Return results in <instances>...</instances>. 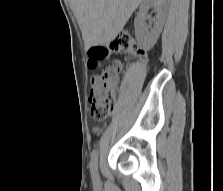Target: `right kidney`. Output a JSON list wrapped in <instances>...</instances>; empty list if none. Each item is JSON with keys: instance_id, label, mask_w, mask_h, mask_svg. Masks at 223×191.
I'll return each mask as SVG.
<instances>
[{"instance_id": "obj_1", "label": "right kidney", "mask_w": 223, "mask_h": 191, "mask_svg": "<svg viewBox=\"0 0 223 191\" xmlns=\"http://www.w3.org/2000/svg\"><path fill=\"white\" fill-rule=\"evenodd\" d=\"M166 0H144L140 6V15L135 19V35L140 45L145 49H151L157 42L165 21ZM158 10L154 29L148 31L144 24L145 16L150 8Z\"/></svg>"}]
</instances>
